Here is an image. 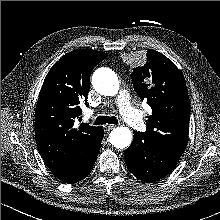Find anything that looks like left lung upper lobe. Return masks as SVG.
<instances>
[{
  "label": "left lung upper lobe",
  "instance_id": "obj_1",
  "mask_svg": "<svg viewBox=\"0 0 220 220\" xmlns=\"http://www.w3.org/2000/svg\"><path fill=\"white\" fill-rule=\"evenodd\" d=\"M135 92L147 100L152 115L147 117L142 135L182 155L188 141L190 105L182 72L163 54L148 50L147 62L131 74Z\"/></svg>",
  "mask_w": 220,
  "mask_h": 220
}]
</instances>
